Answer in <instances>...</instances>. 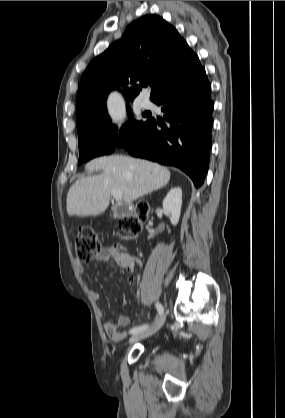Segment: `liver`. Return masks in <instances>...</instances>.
<instances>
[{
    "mask_svg": "<svg viewBox=\"0 0 285 418\" xmlns=\"http://www.w3.org/2000/svg\"><path fill=\"white\" fill-rule=\"evenodd\" d=\"M85 168L102 170V173L77 180L69 188L66 208L70 216H95L104 212L113 190H120L124 202L131 203L164 187L170 180L167 168L125 155L95 158Z\"/></svg>",
    "mask_w": 285,
    "mask_h": 418,
    "instance_id": "liver-1",
    "label": "liver"
}]
</instances>
